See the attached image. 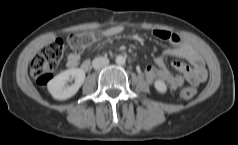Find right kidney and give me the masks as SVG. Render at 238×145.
<instances>
[{"mask_svg":"<svg viewBox=\"0 0 238 145\" xmlns=\"http://www.w3.org/2000/svg\"><path fill=\"white\" fill-rule=\"evenodd\" d=\"M72 80H74V83L68 85L67 82ZM84 80L85 72L82 69L71 68L52 78L47 84V89L54 99L66 100L78 92Z\"/></svg>","mask_w":238,"mask_h":145,"instance_id":"ca27d5eb","label":"right kidney"}]
</instances>
